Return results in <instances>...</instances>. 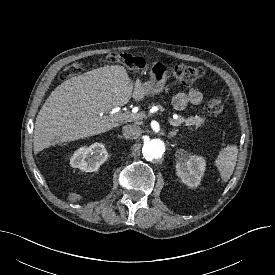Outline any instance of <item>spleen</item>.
Returning <instances> with one entry per match:
<instances>
[{
    "mask_svg": "<svg viewBox=\"0 0 275 275\" xmlns=\"http://www.w3.org/2000/svg\"><path fill=\"white\" fill-rule=\"evenodd\" d=\"M238 149L235 145H228L222 149L215 160L221 178L224 182L228 181L233 174L236 166Z\"/></svg>",
    "mask_w": 275,
    "mask_h": 275,
    "instance_id": "spleen-1",
    "label": "spleen"
}]
</instances>
